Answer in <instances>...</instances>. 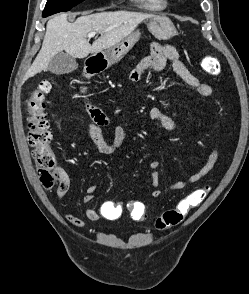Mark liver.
Returning <instances> with one entry per match:
<instances>
[{"mask_svg": "<svg viewBox=\"0 0 249 294\" xmlns=\"http://www.w3.org/2000/svg\"><path fill=\"white\" fill-rule=\"evenodd\" d=\"M67 17V14H60L48 21L41 50L25 79L47 71L50 60L59 52L65 51L74 58L82 59L90 53L110 48L153 15L129 11L99 12L81 16L73 23H69ZM91 32L101 34L92 45L87 40V35Z\"/></svg>", "mask_w": 249, "mask_h": 294, "instance_id": "obj_1", "label": "liver"}]
</instances>
